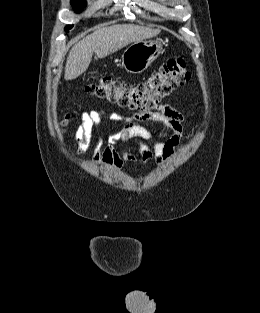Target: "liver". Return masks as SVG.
<instances>
[{
    "label": "liver",
    "instance_id": "6515ba94",
    "mask_svg": "<svg viewBox=\"0 0 260 313\" xmlns=\"http://www.w3.org/2000/svg\"><path fill=\"white\" fill-rule=\"evenodd\" d=\"M159 33V29L133 24H115L98 29L72 47L67 57L64 77L73 80L83 74L91 63L93 53L98 58H104L132 42L152 38Z\"/></svg>",
    "mask_w": 260,
    "mask_h": 313
}]
</instances>
